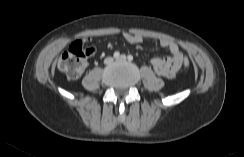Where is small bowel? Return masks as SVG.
<instances>
[{"instance_id":"small-bowel-1","label":"small bowel","mask_w":244,"mask_h":157,"mask_svg":"<svg viewBox=\"0 0 244 157\" xmlns=\"http://www.w3.org/2000/svg\"><path fill=\"white\" fill-rule=\"evenodd\" d=\"M124 39L130 44H139L143 41L142 36L131 33H125ZM159 44L167 48L171 55L167 58L154 57L151 59V65L157 75L173 78L182 66L183 53L177 43L170 38H161Z\"/></svg>"}]
</instances>
